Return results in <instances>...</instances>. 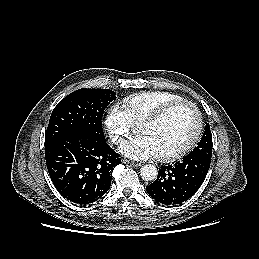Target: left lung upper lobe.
<instances>
[{
	"label": "left lung upper lobe",
	"mask_w": 259,
	"mask_h": 259,
	"mask_svg": "<svg viewBox=\"0 0 259 259\" xmlns=\"http://www.w3.org/2000/svg\"><path fill=\"white\" fill-rule=\"evenodd\" d=\"M188 155L194 157L204 158L211 161L212 157V134L210 131V126L206 123L205 132L198 143L197 147L193 149Z\"/></svg>",
	"instance_id": "obj_1"
}]
</instances>
